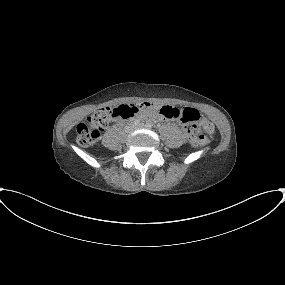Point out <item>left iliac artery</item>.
Wrapping results in <instances>:
<instances>
[{
  "label": "left iliac artery",
  "mask_w": 285,
  "mask_h": 285,
  "mask_svg": "<svg viewBox=\"0 0 285 285\" xmlns=\"http://www.w3.org/2000/svg\"><path fill=\"white\" fill-rule=\"evenodd\" d=\"M146 127L149 128V129H151V128H152V124L149 123V122H147V123H146Z\"/></svg>",
  "instance_id": "1"
}]
</instances>
